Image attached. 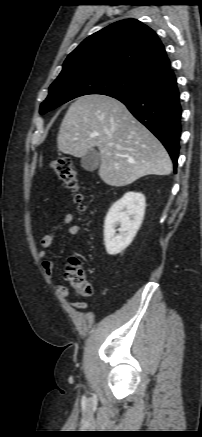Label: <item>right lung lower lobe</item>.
<instances>
[{
  "mask_svg": "<svg viewBox=\"0 0 202 437\" xmlns=\"http://www.w3.org/2000/svg\"><path fill=\"white\" fill-rule=\"evenodd\" d=\"M121 101L165 146L177 168L181 133V105L177 80L171 68L147 81L133 93L112 96Z\"/></svg>",
  "mask_w": 202,
  "mask_h": 437,
  "instance_id": "right-lung-lower-lobe-1",
  "label": "right lung lower lobe"
}]
</instances>
